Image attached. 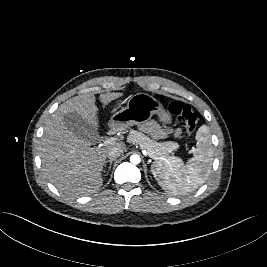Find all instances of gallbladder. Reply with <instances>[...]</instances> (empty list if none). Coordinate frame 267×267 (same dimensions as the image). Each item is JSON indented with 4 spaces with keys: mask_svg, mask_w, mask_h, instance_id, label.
Instances as JSON below:
<instances>
[{
    "mask_svg": "<svg viewBox=\"0 0 267 267\" xmlns=\"http://www.w3.org/2000/svg\"><path fill=\"white\" fill-rule=\"evenodd\" d=\"M65 126L80 138L95 141L99 138L98 132L91 127L78 113L71 112L64 116Z\"/></svg>",
    "mask_w": 267,
    "mask_h": 267,
    "instance_id": "obj_1",
    "label": "gallbladder"
}]
</instances>
